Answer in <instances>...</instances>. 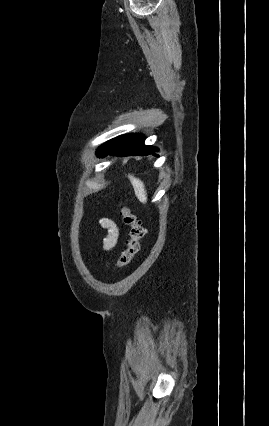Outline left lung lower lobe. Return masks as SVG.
Returning <instances> with one entry per match:
<instances>
[{
	"label": "left lung lower lobe",
	"mask_w": 269,
	"mask_h": 426,
	"mask_svg": "<svg viewBox=\"0 0 269 426\" xmlns=\"http://www.w3.org/2000/svg\"><path fill=\"white\" fill-rule=\"evenodd\" d=\"M98 157H104L108 154L120 156H146L154 155L155 148L144 145V138L141 134H126L111 139L97 149Z\"/></svg>",
	"instance_id": "0a47b994"
}]
</instances>
